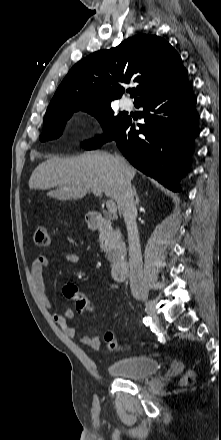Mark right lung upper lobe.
Here are the masks:
<instances>
[{
    "mask_svg": "<svg viewBox=\"0 0 221 440\" xmlns=\"http://www.w3.org/2000/svg\"><path fill=\"white\" fill-rule=\"evenodd\" d=\"M187 78L175 49L164 39L140 34L110 50L97 51L76 63L53 96L47 111L70 105L97 107L124 93L122 83L136 82L135 103L172 88Z\"/></svg>",
    "mask_w": 221,
    "mask_h": 440,
    "instance_id": "cb5924a9",
    "label": "right lung upper lobe"
}]
</instances>
